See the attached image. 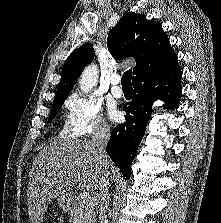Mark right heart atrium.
<instances>
[{
    "label": "right heart atrium",
    "mask_w": 221,
    "mask_h": 223,
    "mask_svg": "<svg viewBox=\"0 0 221 223\" xmlns=\"http://www.w3.org/2000/svg\"><path fill=\"white\" fill-rule=\"evenodd\" d=\"M65 111L64 133L68 137L82 138L109 131L100 104L91 97L73 92L65 101Z\"/></svg>",
    "instance_id": "1"
}]
</instances>
